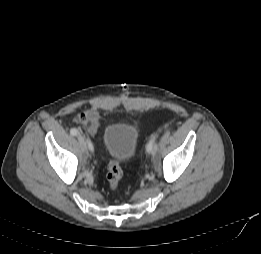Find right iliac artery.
<instances>
[{"label": "right iliac artery", "instance_id": "right-iliac-artery-1", "mask_svg": "<svg viewBox=\"0 0 261 254\" xmlns=\"http://www.w3.org/2000/svg\"><path fill=\"white\" fill-rule=\"evenodd\" d=\"M70 133H71L73 136H77V135H78V131H77V129H75V128H71ZM87 143H88L89 149H90L91 151H93V145H92V143H91L90 141H88V140H87Z\"/></svg>", "mask_w": 261, "mask_h": 254}]
</instances>
